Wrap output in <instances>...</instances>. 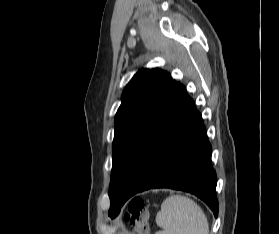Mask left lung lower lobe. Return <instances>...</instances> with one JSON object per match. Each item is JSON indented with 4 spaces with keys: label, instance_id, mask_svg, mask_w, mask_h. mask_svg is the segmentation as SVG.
I'll list each match as a JSON object with an SVG mask.
<instances>
[{
    "label": "left lung lower lobe",
    "instance_id": "obj_1",
    "mask_svg": "<svg viewBox=\"0 0 279 234\" xmlns=\"http://www.w3.org/2000/svg\"><path fill=\"white\" fill-rule=\"evenodd\" d=\"M216 173L201 114L185 87L172 81L139 145L121 191L122 204L150 188L195 194L218 215Z\"/></svg>",
    "mask_w": 279,
    "mask_h": 234
}]
</instances>
